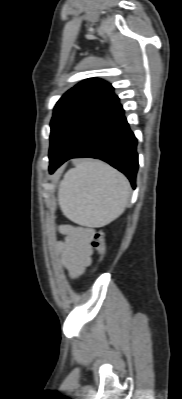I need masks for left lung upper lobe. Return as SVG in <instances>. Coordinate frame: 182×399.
Returning a JSON list of instances; mask_svg holds the SVG:
<instances>
[{"label": "left lung upper lobe", "mask_w": 182, "mask_h": 399, "mask_svg": "<svg viewBox=\"0 0 182 399\" xmlns=\"http://www.w3.org/2000/svg\"><path fill=\"white\" fill-rule=\"evenodd\" d=\"M114 97L110 83L90 78L59 99L50 123V162L61 154L85 118Z\"/></svg>", "instance_id": "obj_1"}]
</instances>
